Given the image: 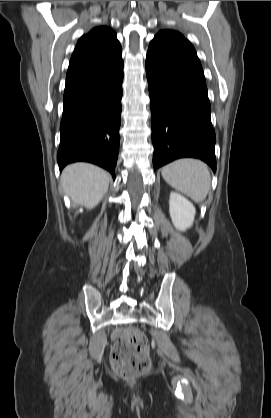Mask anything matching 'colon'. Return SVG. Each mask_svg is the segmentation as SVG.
<instances>
[{"instance_id":"1","label":"colon","mask_w":271,"mask_h":418,"mask_svg":"<svg viewBox=\"0 0 271 418\" xmlns=\"http://www.w3.org/2000/svg\"><path fill=\"white\" fill-rule=\"evenodd\" d=\"M113 339L110 360L116 374L135 377L149 369V346L142 332L137 329L117 330Z\"/></svg>"}]
</instances>
